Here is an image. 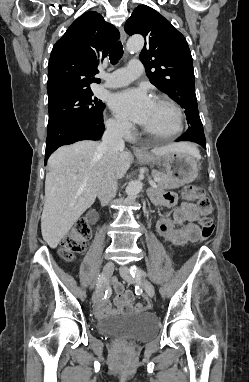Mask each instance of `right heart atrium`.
I'll use <instances>...</instances> for the list:
<instances>
[{
	"label": "right heart atrium",
	"instance_id": "right-heart-atrium-1",
	"mask_svg": "<svg viewBox=\"0 0 249 382\" xmlns=\"http://www.w3.org/2000/svg\"><path fill=\"white\" fill-rule=\"evenodd\" d=\"M107 128L115 135L128 136L131 132V124L124 118L112 116L107 120Z\"/></svg>",
	"mask_w": 249,
	"mask_h": 382
}]
</instances>
